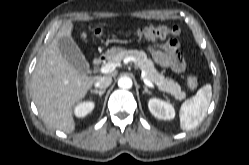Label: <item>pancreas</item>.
Masks as SVG:
<instances>
[{
	"label": "pancreas",
	"instance_id": "1",
	"mask_svg": "<svg viewBox=\"0 0 249 165\" xmlns=\"http://www.w3.org/2000/svg\"><path fill=\"white\" fill-rule=\"evenodd\" d=\"M134 58L133 61L136 66L145 71V77L152 83L156 84L161 91L170 93L177 100H183L186 93L181 91L180 85L172 79L165 78L162 73H158L153 61L147 58L144 51L138 50H122L110 58V61L119 64L125 58Z\"/></svg>",
	"mask_w": 249,
	"mask_h": 165
}]
</instances>
